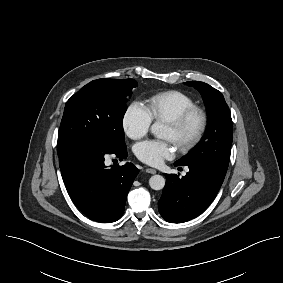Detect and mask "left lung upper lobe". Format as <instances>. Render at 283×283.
Listing matches in <instances>:
<instances>
[{"label": "left lung upper lobe", "instance_id": "left-lung-upper-lobe-1", "mask_svg": "<svg viewBox=\"0 0 283 283\" xmlns=\"http://www.w3.org/2000/svg\"><path fill=\"white\" fill-rule=\"evenodd\" d=\"M195 87L207 108V131L199 145L188 155L176 161L179 165H207L226 174L232 145V119L223 95L200 81L185 83Z\"/></svg>", "mask_w": 283, "mask_h": 283}]
</instances>
